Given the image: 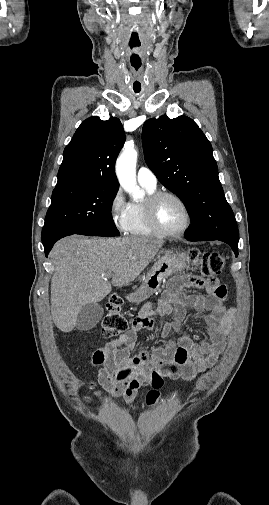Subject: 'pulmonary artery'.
Instances as JSON below:
<instances>
[{
    "instance_id": "1",
    "label": "pulmonary artery",
    "mask_w": 269,
    "mask_h": 505,
    "mask_svg": "<svg viewBox=\"0 0 269 505\" xmlns=\"http://www.w3.org/2000/svg\"><path fill=\"white\" fill-rule=\"evenodd\" d=\"M137 180L141 185H146L151 188H155L157 185V178L148 167H140L138 169Z\"/></svg>"
}]
</instances>
